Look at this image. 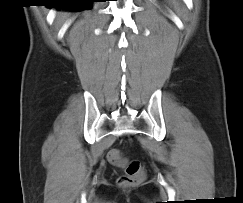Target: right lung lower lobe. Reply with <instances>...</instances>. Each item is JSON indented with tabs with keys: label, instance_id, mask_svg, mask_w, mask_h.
<instances>
[{
	"label": "right lung lower lobe",
	"instance_id": "1",
	"mask_svg": "<svg viewBox=\"0 0 243 203\" xmlns=\"http://www.w3.org/2000/svg\"><path fill=\"white\" fill-rule=\"evenodd\" d=\"M97 1H102V0H60L55 6L64 4V5H69L72 10H79L81 8H89L90 7V2H97Z\"/></svg>",
	"mask_w": 243,
	"mask_h": 203
}]
</instances>
